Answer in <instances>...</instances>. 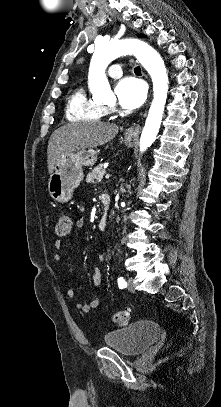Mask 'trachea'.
<instances>
[{
	"mask_svg": "<svg viewBox=\"0 0 221 407\" xmlns=\"http://www.w3.org/2000/svg\"><path fill=\"white\" fill-rule=\"evenodd\" d=\"M134 72L137 74V73H140L141 72V69H140V67L139 66H137L135 69H134Z\"/></svg>",
	"mask_w": 221,
	"mask_h": 407,
	"instance_id": "1",
	"label": "trachea"
}]
</instances>
